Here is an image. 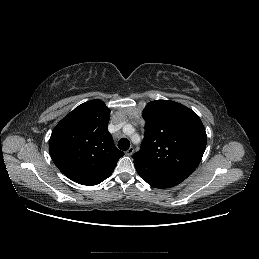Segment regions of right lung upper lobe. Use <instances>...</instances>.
<instances>
[{
  "label": "right lung upper lobe",
  "mask_w": 259,
  "mask_h": 259,
  "mask_svg": "<svg viewBox=\"0 0 259 259\" xmlns=\"http://www.w3.org/2000/svg\"><path fill=\"white\" fill-rule=\"evenodd\" d=\"M109 118V108L96 99L76 107L54 128L49 140L51 158L72 181L97 185L112 174L124 155L108 131Z\"/></svg>",
  "instance_id": "obj_1"
}]
</instances>
